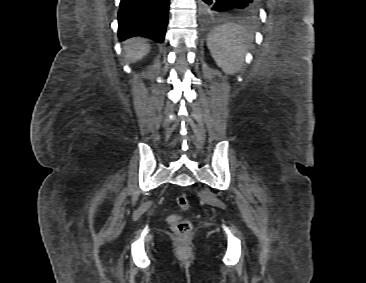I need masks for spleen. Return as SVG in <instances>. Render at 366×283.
<instances>
[{
  "mask_svg": "<svg viewBox=\"0 0 366 283\" xmlns=\"http://www.w3.org/2000/svg\"><path fill=\"white\" fill-rule=\"evenodd\" d=\"M250 36L241 25L228 23L216 27L208 36L207 46L217 65L229 75L243 66Z\"/></svg>",
  "mask_w": 366,
  "mask_h": 283,
  "instance_id": "1",
  "label": "spleen"
}]
</instances>
